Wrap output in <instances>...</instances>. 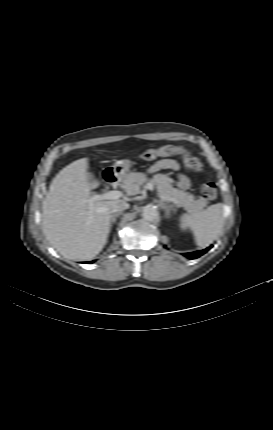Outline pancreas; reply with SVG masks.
Segmentation results:
<instances>
[{"instance_id":"1","label":"pancreas","mask_w":273,"mask_h":430,"mask_svg":"<svg viewBox=\"0 0 273 430\" xmlns=\"http://www.w3.org/2000/svg\"><path fill=\"white\" fill-rule=\"evenodd\" d=\"M145 182L155 185L160 195L175 199L176 204L185 210L199 212L207 205V200L204 197H196L193 194L174 188L172 186L173 179L162 173L155 174L150 180L147 179L145 173H129L124 179L123 187L126 192L136 194Z\"/></svg>"}]
</instances>
